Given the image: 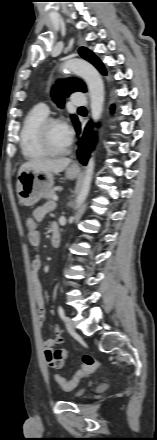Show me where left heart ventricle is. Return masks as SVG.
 Returning <instances> with one entry per match:
<instances>
[{"label": "left heart ventricle", "mask_w": 157, "mask_h": 440, "mask_svg": "<svg viewBox=\"0 0 157 440\" xmlns=\"http://www.w3.org/2000/svg\"><path fill=\"white\" fill-rule=\"evenodd\" d=\"M48 137L54 149H64L69 145V141L63 134L60 124H53L49 127Z\"/></svg>", "instance_id": "obj_1"}]
</instances>
